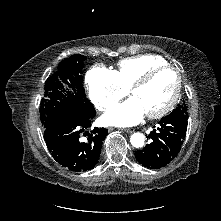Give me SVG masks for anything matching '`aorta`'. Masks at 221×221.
Returning a JSON list of instances; mask_svg holds the SVG:
<instances>
[{"instance_id":"762f6f07","label":"aorta","mask_w":221,"mask_h":221,"mask_svg":"<svg viewBox=\"0 0 221 221\" xmlns=\"http://www.w3.org/2000/svg\"><path fill=\"white\" fill-rule=\"evenodd\" d=\"M131 145L135 148H141L145 143V136L142 133H133L130 137Z\"/></svg>"}]
</instances>
